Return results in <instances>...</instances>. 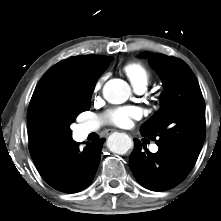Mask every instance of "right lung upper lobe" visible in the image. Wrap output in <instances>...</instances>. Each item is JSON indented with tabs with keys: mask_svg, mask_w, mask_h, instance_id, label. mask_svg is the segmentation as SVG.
Instances as JSON below:
<instances>
[{
	"mask_svg": "<svg viewBox=\"0 0 221 221\" xmlns=\"http://www.w3.org/2000/svg\"><path fill=\"white\" fill-rule=\"evenodd\" d=\"M111 57L80 55L70 57L51 67L40 79L27 112L29 151L38 162L70 141L47 144L39 137V127L45 117L62 119L67 100L79 89L82 82L91 76L104 72Z\"/></svg>",
	"mask_w": 221,
	"mask_h": 221,
	"instance_id": "cb5924a9",
	"label": "right lung upper lobe"
}]
</instances>
